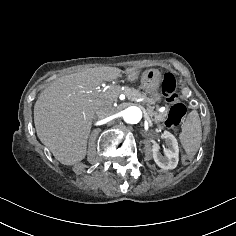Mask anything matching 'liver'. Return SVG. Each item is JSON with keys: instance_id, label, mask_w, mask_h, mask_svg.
Here are the masks:
<instances>
[{"instance_id": "obj_1", "label": "liver", "mask_w": 236, "mask_h": 236, "mask_svg": "<svg viewBox=\"0 0 236 236\" xmlns=\"http://www.w3.org/2000/svg\"><path fill=\"white\" fill-rule=\"evenodd\" d=\"M125 73L129 81L139 75L134 67ZM120 76L116 67L88 68L59 78L40 94L34 105L37 136L60 163L74 165L85 158L95 113L103 118L115 114L110 91L97 94L96 87Z\"/></svg>"}]
</instances>
